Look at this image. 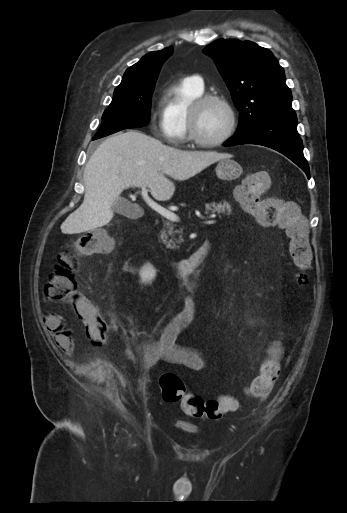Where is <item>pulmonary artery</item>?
<instances>
[{
  "label": "pulmonary artery",
  "instance_id": "obj_1",
  "mask_svg": "<svg viewBox=\"0 0 347 513\" xmlns=\"http://www.w3.org/2000/svg\"><path fill=\"white\" fill-rule=\"evenodd\" d=\"M187 79H189L198 88L203 89L204 81H203V78L201 76H199V75H192V76H189Z\"/></svg>",
  "mask_w": 347,
  "mask_h": 513
}]
</instances>
